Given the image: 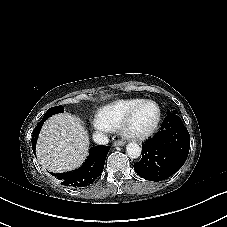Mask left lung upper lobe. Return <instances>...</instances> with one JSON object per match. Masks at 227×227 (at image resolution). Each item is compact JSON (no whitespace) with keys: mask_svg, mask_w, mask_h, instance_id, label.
Listing matches in <instances>:
<instances>
[{"mask_svg":"<svg viewBox=\"0 0 227 227\" xmlns=\"http://www.w3.org/2000/svg\"><path fill=\"white\" fill-rule=\"evenodd\" d=\"M167 114H174V115H176L175 114V111H173V112L167 111Z\"/></svg>","mask_w":227,"mask_h":227,"instance_id":"obj_1","label":"left lung upper lobe"}]
</instances>
